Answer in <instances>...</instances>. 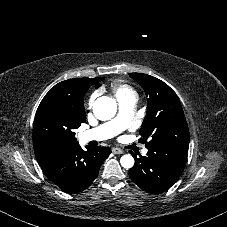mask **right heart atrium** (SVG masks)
<instances>
[{"mask_svg":"<svg viewBox=\"0 0 227 227\" xmlns=\"http://www.w3.org/2000/svg\"><path fill=\"white\" fill-rule=\"evenodd\" d=\"M97 97V93L93 92L89 97H88V100H87V106L89 108H91L93 106V103L95 101Z\"/></svg>","mask_w":227,"mask_h":227,"instance_id":"1","label":"right heart atrium"}]
</instances>
